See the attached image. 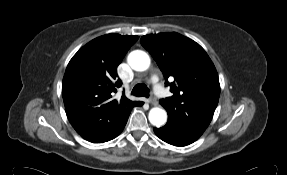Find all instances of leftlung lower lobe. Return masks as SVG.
<instances>
[{
	"label": "left lung lower lobe",
	"instance_id": "0a47b994",
	"mask_svg": "<svg viewBox=\"0 0 287 175\" xmlns=\"http://www.w3.org/2000/svg\"><path fill=\"white\" fill-rule=\"evenodd\" d=\"M154 132L161 140L178 147L189 145L198 139L170 122L161 128H154Z\"/></svg>",
	"mask_w": 287,
	"mask_h": 175
}]
</instances>
